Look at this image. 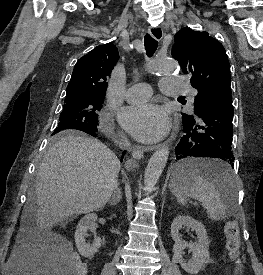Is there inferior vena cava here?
<instances>
[{
  "instance_id": "inferior-vena-cava-1",
  "label": "inferior vena cava",
  "mask_w": 263,
  "mask_h": 275,
  "mask_svg": "<svg viewBox=\"0 0 263 275\" xmlns=\"http://www.w3.org/2000/svg\"><path fill=\"white\" fill-rule=\"evenodd\" d=\"M118 144H119V146L124 147V148L130 146L129 141L127 140V138H124V137H121V139H119Z\"/></svg>"
}]
</instances>
